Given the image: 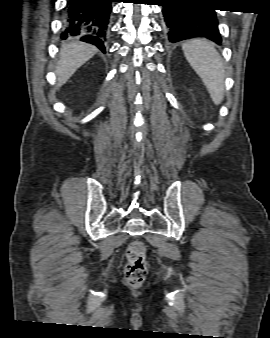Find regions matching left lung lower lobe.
<instances>
[{
	"label": "left lung lower lobe",
	"instance_id": "0a47b994",
	"mask_svg": "<svg viewBox=\"0 0 270 338\" xmlns=\"http://www.w3.org/2000/svg\"><path fill=\"white\" fill-rule=\"evenodd\" d=\"M201 1L161 0L165 35L170 43L203 37L221 44L215 9Z\"/></svg>",
	"mask_w": 270,
	"mask_h": 338
}]
</instances>
